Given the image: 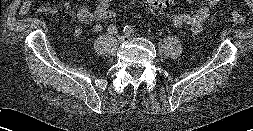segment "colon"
<instances>
[{
    "instance_id": "colon-1",
    "label": "colon",
    "mask_w": 253,
    "mask_h": 131,
    "mask_svg": "<svg viewBox=\"0 0 253 131\" xmlns=\"http://www.w3.org/2000/svg\"><path fill=\"white\" fill-rule=\"evenodd\" d=\"M176 5V0H147L146 7L152 12H159ZM233 24L242 25L245 22V13L240 9H233L229 12ZM116 12L108 8L102 13V21L110 23L115 21Z\"/></svg>"
}]
</instances>
